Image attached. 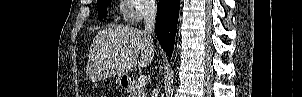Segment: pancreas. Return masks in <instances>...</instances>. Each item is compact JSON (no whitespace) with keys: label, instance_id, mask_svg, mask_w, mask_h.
I'll use <instances>...</instances> for the list:
<instances>
[{"label":"pancreas","instance_id":"cf45deb5","mask_svg":"<svg viewBox=\"0 0 302 97\" xmlns=\"http://www.w3.org/2000/svg\"><path fill=\"white\" fill-rule=\"evenodd\" d=\"M131 97H146L143 87H140L136 82L132 83L130 88Z\"/></svg>","mask_w":302,"mask_h":97}]
</instances>
